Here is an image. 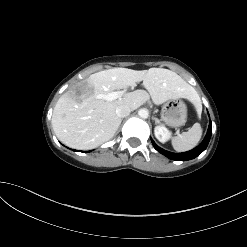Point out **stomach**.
Wrapping results in <instances>:
<instances>
[{
  "mask_svg": "<svg viewBox=\"0 0 247 247\" xmlns=\"http://www.w3.org/2000/svg\"><path fill=\"white\" fill-rule=\"evenodd\" d=\"M161 118L170 127H181L186 123L187 106L181 99H171L165 103Z\"/></svg>",
  "mask_w": 247,
  "mask_h": 247,
  "instance_id": "0dacf381",
  "label": "stomach"
}]
</instances>
